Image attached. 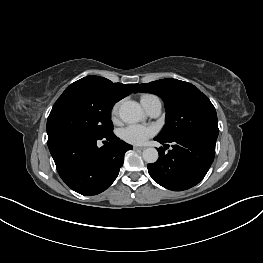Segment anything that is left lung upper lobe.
<instances>
[{
	"label": "left lung upper lobe",
	"mask_w": 263,
	"mask_h": 263,
	"mask_svg": "<svg viewBox=\"0 0 263 263\" xmlns=\"http://www.w3.org/2000/svg\"><path fill=\"white\" fill-rule=\"evenodd\" d=\"M135 92L158 95L166 109V125L156 137L164 141L185 136L217 139L216 110L208 97L194 85L177 79H162L141 84Z\"/></svg>",
	"instance_id": "1"
}]
</instances>
